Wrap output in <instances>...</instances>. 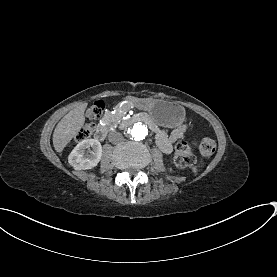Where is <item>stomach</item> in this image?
Here are the masks:
<instances>
[{
	"instance_id": "1",
	"label": "stomach",
	"mask_w": 277,
	"mask_h": 277,
	"mask_svg": "<svg viewBox=\"0 0 277 277\" xmlns=\"http://www.w3.org/2000/svg\"><path fill=\"white\" fill-rule=\"evenodd\" d=\"M133 104L149 112L151 117L161 126L175 128L185 119V109L174 102L153 98H132Z\"/></svg>"
}]
</instances>
